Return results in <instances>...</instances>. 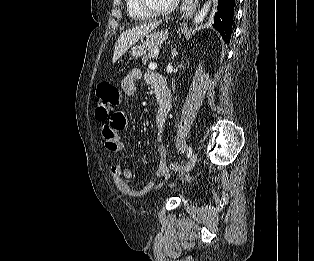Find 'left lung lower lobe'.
Here are the masks:
<instances>
[{"instance_id":"1","label":"left lung lower lobe","mask_w":314,"mask_h":261,"mask_svg":"<svg viewBox=\"0 0 314 261\" xmlns=\"http://www.w3.org/2000/svg\"><path fill=\"white\" fill-rule=\"evenodd\" d=\"M235 13V0H219L215 14L214 28L221 34L226 43H229L232 33V24Z\"/></svg>"}]
</instances>
